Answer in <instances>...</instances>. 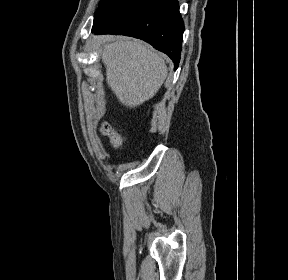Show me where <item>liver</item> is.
Here are the masks:
<instances>
[{
  "label": "liver",
  "mask_w": 288,
  "mask_h": 280,
  "mask_svg": "<svg viewBox=\"0 0 288 280\" xmlns=\"http://www.w3.org/2000/svg\"><path fill=\"white\" fill-rule=\"evenodd\" d=\"M102 61L109 87L130 108L151 99L167 76L164 59L136 40L120 38L105 44Z\"/></svg>",
  "instance_id": "1"
}]
</instances>
